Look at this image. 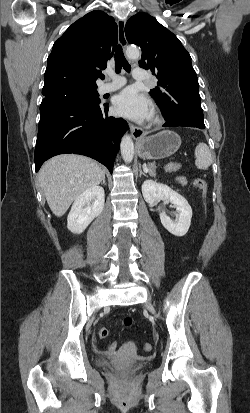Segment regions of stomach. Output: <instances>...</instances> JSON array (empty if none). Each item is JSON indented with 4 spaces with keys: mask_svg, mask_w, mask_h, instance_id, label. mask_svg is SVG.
I'll use <instances>...</instances> for the list:
<instances>
[{
    "mask_svg": "<svg viewBox=\"0 0 250 413\" xmlns=\"http://www.w3.org/2000/svg\"><path fill=\"white\" fill-rule=\"evenodd\" d=\"M181 146L180 136L169 130L142 137L137 142V152L143 159H162L173 155Z\"/></svg>",
    "mask_w": 250,
    "mask_h": 413,
    "instance_id": "obj_1",
    "label": "stomach"
}]
</instances>
